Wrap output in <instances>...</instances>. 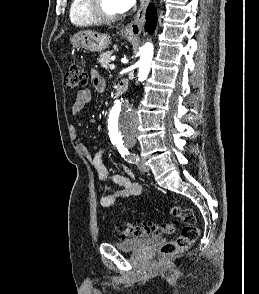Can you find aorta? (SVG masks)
Here are the masks:
<instances>
[{
    "instance_id": "aorta-1",
    "label": "aorta",
    "mask_w": 259,
    "mask_h": 294,
    "mask_svg": "<svg viewBox=\"0 0 259 294\" xmlns=\"http://www.w3.org/2000/svg\"><path fill=\"white\" fill-rule=\"evenodd\" d=\"M141 57L138 62V81H144L150 71L154 54L153 44L146 42L140 49ZM139 117L122 98L112 107L108 117V134L111 140L124 143L134 142L137 138Z\"/></svg>"
}]
</instances>
